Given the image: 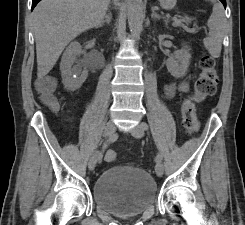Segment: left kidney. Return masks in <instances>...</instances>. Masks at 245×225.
Masks as SVG:
<instances>
[{
  "label": "left kidney",
  "instance_id": "5707ae66",
  "mask_svg": "<svg viewBox=\"0 0 245 225\" xmlns=\"http://www.w3.org/2000/svg\"><path fill=\"white\" fill-rule=\"evenodd\" d=\"M191 54L187 46L175 51L166 61V66L170 74L176 78L184 77L188 71Z\"/></svg>",
  "mask_w": 245,
  "mask_h": 225
}]
</instances>
